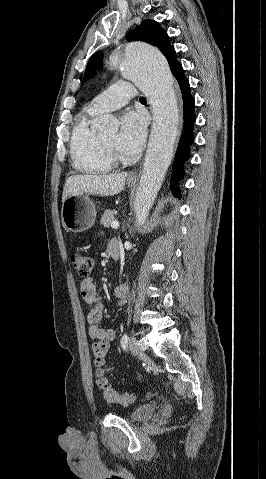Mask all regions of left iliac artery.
Returning a JSON list of instances; mask_svg holds the SVG:
<instances>
[{"label": "left iliac artery", "mask_w": 266, "mask_h": 479, "mask_svg": "<svg viewBox=\"0 0 266 479\" xmlns=\"http://www.w3.org/2000/svg\"><path fill=\"white\" fill-rule=\"evenodd\" d=\"M128 340H129V337H128V335L125 333V334L122 336L121 341H120L121 347H122L124 350L127 349Z\"/></svg>", "instance_id": "44dca946"}]
</instances>
